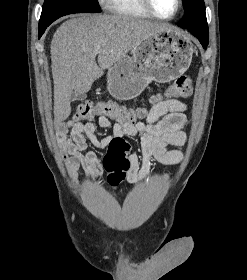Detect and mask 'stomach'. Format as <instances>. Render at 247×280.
I'll use <instances>...</instances> for the list:
<instances>
[{
    "label": "stomach",
    "mask_w": 247,
    "mask_h": 280,
    "mask_svg": "<svg viewBox=\"0 0 247 280\" xmlns=\"http://www.w3.org/2000/svg\"><path fill=\"white\" fill-rule=\"evenodd\" d=\"M193 52L191 41L177 29L154 33L136 45L131 56L122 57L108 69L107 89L115 99H133L150 82H170L183 74Z\"/></svg>",
    "instance_id": "obj_1"
}]
</instances>
